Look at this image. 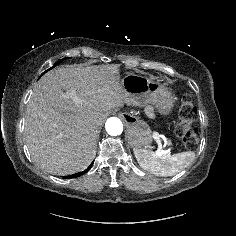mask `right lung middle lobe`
Wrapping results in <instances>:
<instances>
[{
	"mask_svg": "<svg viewBox=\"0 0 236 236\" xmlns=\"http://www.w3.org/2000/svg\"><path fill=\"white\" fill-rule=\"evenodd\" d=\"M64 59H66V58H64ZM64 59H61V60L57 61V62L54 64V66L51 67L50 69L54 68L56 65H58V64H59L61 61H63ZM50 69H48V70H50ZM48 70H46L45 72H47ZM45 72H44V73H45ZM44 73H43V74H44ZM43 74H42V75H43Z\"/></svg>",
	"mask_w": 236,
	"mask_h": 236,
	"instance_id": "1",
	"label": "right lung middle lobe"
}]
</instances>
